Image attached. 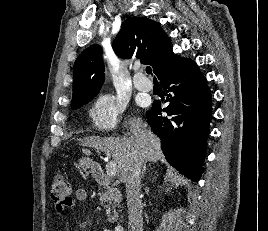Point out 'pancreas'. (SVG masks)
I'll use <instances>...</instances> for the list:
<instances>
[{
  "instance_id": "cf45deb5",
  "label": "pancreas",
  "mask_w": 268,
  "mask_h": 231,
  "mask_svg": "<svg viewBox=\"0 0 268 231\" xmlns=\"http://www.w3.org/2000/svg\"><path fill=\"white\" fill-rule=\"evenodd\" d=\"M101 204L106 208V214L109 222H116L118 217L117 208L120 207L121 198L117 189L103 184L100 194Z\"/></svg>"
}]
</instances>
